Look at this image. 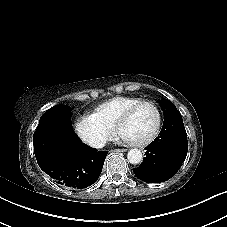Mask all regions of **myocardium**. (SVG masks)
<instances>
[{
	"label": "myocardium",
	"instance_id": "f54148a6",
	"mask_svg": "<svg viewBox=\"0 0 227 227\" xmlns=\"http://www.w3.org/2000/svg\"><path fill=\"white\" fill-rule=\"evenodd\" d=\"M144 106L150 107L153 110L154 117H155L154 126H153L151 132L143 138L144 141L150 142L157 136V134L159 132V128H160V113H159L157 106L153 102L141 101V102L137 103L136 105H134L128 111V113L123 117V119L121 120V122L118 126V129L132 132L131 126H132L133 116L138 109H140L141 107H144Z\"/></svg>",
	"mask_w": 227,
	"mask_h": 227
}]
</instances>
